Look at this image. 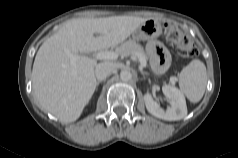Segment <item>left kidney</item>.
Masks as SVG:
<instances>
[{
  "instance_id": "5707ae66",
  "label": "left kidney",
  "mask_w": 238,
  "mask_h": 158,
  "mask_svg": "<svg viewBox=\"0 0 238 158\" xmlns=\"http://www.w3.org/2000/svg\"><path fill=\"white\" fill-rule=\"evenodd\" d=\"M162 91L170 100L171 106L167 110H164L153 100L150 94H145L144 101L147 111L153 116L167 121H176L186 117L187 106L183 93L171 85H163Z\"/></svg>"
}]
</instances>
